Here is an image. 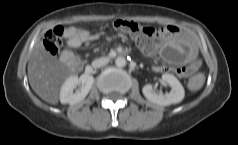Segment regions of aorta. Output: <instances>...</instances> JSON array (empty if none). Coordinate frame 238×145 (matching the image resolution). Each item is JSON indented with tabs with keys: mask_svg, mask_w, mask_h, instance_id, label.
Returning a JSON list of instances; mask_svg holds the SVG:
<instances>
[{
	"mask_svg": "<svg viewBox=\"0 0 238 145\" xmlns=\"http://www.w3.org/2000/svg\"><path fill=\"white\" fill-rule=\"evenodd\" d=\"M115 64L117 67H124L126 65V59L124 57H117Z\"/></svg>",
	"mask_w": 238,
	"mask_h": 145,
	"instance_id": "obj_1",
	"label": "aorta"
}]
</instances>
